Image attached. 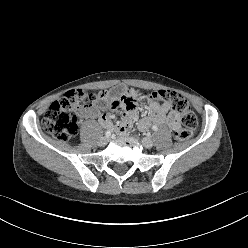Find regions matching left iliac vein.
I'll use <instances>...</instances> for the list:
<instances>
[{
    "label": "left iliac vein",
    "instance_id": "left-iliac-vein-1",
    "mask_svg": "<svg viewBox=\"0 0 248 248\" xmlns=\"http://www.w3.org/2000/svg\"><path fill=\"white\" fill-rule=\"evenodd\" d=\"M142 144L145 148L150 149L153 147L154 142L151 138L145 137L142 139Z\"/></svg>",
    "mask_w": 248,
    "mask_h": 248
}]
</instances>
